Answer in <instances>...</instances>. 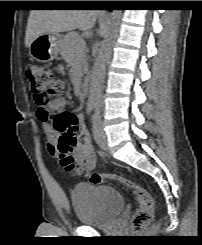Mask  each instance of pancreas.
I'll list each match as a JSON object with an SVG mask.
<instances>
[{
    "instance_id": "1",
    "label": "pancreas",
    "mask_w": 202,
    "mask_h": 245,
    "mask_svg": "<svg viewBox=\"0 0 202 245\" xmlns=\"http://www.w3.org/2000/svg\"><path fill=\"white\" fill-rule=\"evenodd\" d=\"M60 54L73 70L77 69L81 75L84 74L86 66L85 44L78 33L72 32L64 37L60 44Z\"/></svg>"
}]
</instances>
